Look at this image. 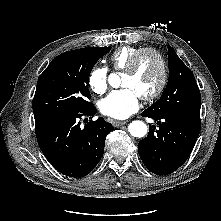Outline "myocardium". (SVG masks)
<instances>
[{
    "mask_svg": "<svg viewBox=\"0 0 221 221\" xmlns=\"http://www.w3.org/2000/svg\"><path fill=\"white\" fill-rule=\"evenodd\" d=\"M144 54H152L154 55L157 60L159 61L160 68H161V78L160 81L157 85V87L149 94L143 95L141 98L145 101H151L155 98H157L164 90L167 79H168V68H167V63L164 58V56L156 49L146 47L142 48L139 51H137L132 59L130 60L128 66L124 70L125 74H134L135 71L137 70V67L139 65V62Z\"/></svg>",
    "mask_w": 221,
    "mask_h": 221,
    "instance_id": "1",
    "label": "myocardium"
}]
</instances>
